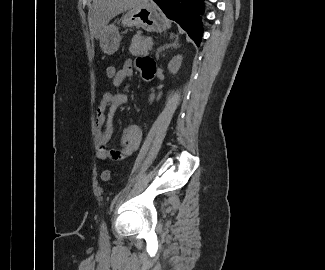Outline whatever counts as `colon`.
<instances>
[{
  "instance_id": "obj_1",
  "label": "colon",
  "mask_w": 325,
  "mask_h": 270,
  "mask_svg": "<svg viewBox=\"0 0 325 270\" xmlns=\"http://www.w3.org/2000/svg\"><path fill=\"white\" fill-rule=\"evenodd\" d=\"M117 68L114 64H109L107 65L106 69H105V74L108 80L114 82V80L116 79L117 76ZM111 178V172L109 170H104L101 173V179L103 181H108Z\"/></svg>"
}]
</instances>
